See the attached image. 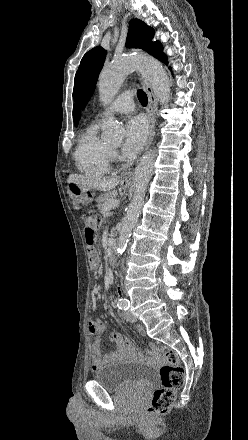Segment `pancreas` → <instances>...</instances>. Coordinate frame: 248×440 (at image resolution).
I'll use <instances>...</instances> for the list:
<instances>
[{
  "label": "pancreas",
  "mask_w": 248,
  "mask_h": 440,
  "mask_svg": "<svg viewBox=\"0 0 248 440\" xmlns=\"http://www.w3.org/2000/svg\"><path fill=\"white\" fill-rule=\"evenodd\" d=\"M112 195L110 193H105L100 195L97 198V207L99 208V210L101 211V213L105 212V207L106 205L112 200Z\"/></svg>",
  "instance_id": "pancreas-1"
}]
</instances>
